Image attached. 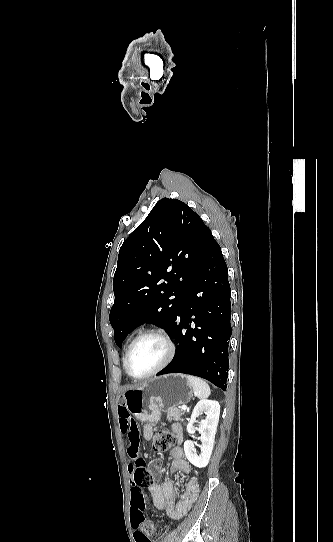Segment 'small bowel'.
<instances>
[{
	"label": "small bowel",
	"mask_w": 333,
	"mask_h": 542,
	"mask_svg": "<svg viewBox=\"0 0 333 542\" xmlns=\"http://www.w3.org/2000/svg\"><path fill=\"white\" fill-rule=\"evenodd\" d=\"M118 416L120 419V431L124 436L123 441L128 445L127 451L131 459L135 460L140 454V437L138 436V427L136 422L129 416L126 407L119 406ZM172 430L176 435L178 444L171 450V473L180 471L188 478L185 482V489L182 492L180 499L177 502L179 488L176 487L170 478H167L161 484H153L150 487V493L155 507L164 511L172 519L182 518L196 502L200 494V478L194 471L192 465L184 458L181 443L183 441L182 427L179 424H174ZM153 437V426L146 423L144 426V438L150 441ZM130 468L134 470L132 463ZM155 473H160V469L155 467ZM139 514L137 508L132 502L130 511V527L134 531H139L142 528V523L137 520Z\"/></svg>",
	"instance_id": "c3829d8e"
}]
</instances>
